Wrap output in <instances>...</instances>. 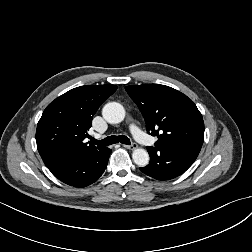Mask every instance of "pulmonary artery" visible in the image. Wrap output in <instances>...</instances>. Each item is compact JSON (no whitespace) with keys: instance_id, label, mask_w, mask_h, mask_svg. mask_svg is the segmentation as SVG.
I'll list each match as a JSON object with an SVG mask.
<instances>
[{"instance_id":"obj_1","label":"pulmonary artery","mask_w":252,"mask_h":252,"mask_svg":"<svg viewBox=\"0 0 252 252\" xmlns=\"http://www.w3.org/2000/svg\"><path fill=\"white\" fill-rule=\"evenodd\" d=\"M130 131L138 142L142 144L151 143V138L142 132L135 124L130 125Z\"/></svg>"}]
</instances>
